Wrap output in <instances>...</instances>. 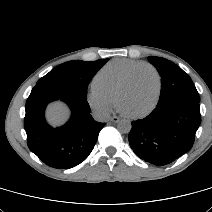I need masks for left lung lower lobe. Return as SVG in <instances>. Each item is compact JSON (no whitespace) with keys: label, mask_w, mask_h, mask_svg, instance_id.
<instances>
[{"label":"left lung lower lobe","mask_w":212,"mask_h":212,"mask_svg":"<svg viewBox=\"0 0 212 212\" xmlns=\"http://www.w3.org/2000/svg\"><path fill=\"white\" fill-rule=\"evenodd\" d=\"M200 123L199 102L174 98L158 103L146 118L132 121L129 144L140 159L163 166L191 149Z\"/></svg>","instance_id":"left-lung-lower-lobe-1"}]
</instances>
